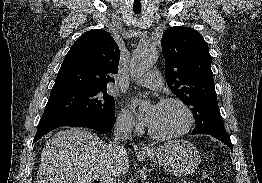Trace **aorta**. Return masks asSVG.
<instances>
[{
  "label": "aorta",
  "mask_w": 262,
  "mask_h": 183,
  "mask_svg": "<svg viewBox=\"0 0 262 183\" xmlns=\"http://www.w3.org/2000/svg\"><path fill=\"white\" fill-rule=\"evenodd\" d=\"M158 53L156 49L147 46L138 47L132 55L130 69L134 74L147 72L156 63ZM146 103H144L145 105Z\"/></svg>",
  "instance_id": "1"
}]
</instances>
